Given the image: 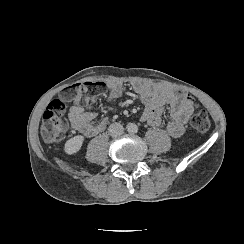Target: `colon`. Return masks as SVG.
<instances>
[{
  "instance_id": "5ec220e1",
  "label": "colon",
  "mask_w": 244,
  "mask_h": 244,
  "mask_svg": "<svg viewBox=\"0 0 244 244\" xmlns=\"http://www.w3.org/2000/svg\"><path fill=\"white\" fill-rule=\"evenodd\" d=\"M104 90V85L100 82H95L91 85L79 84L69 88L64 87L60 90L61 98L52 100L46 107L41 118V136L48 142H58L63 137L69 126L68 121L64 117L67 108L65 100L71 95L78 97L81 101L91 105L96 102ZM191 124L194 129L199 132H205L210 128V119L208 113L202 108H196Z\"/></svg>"
}]
</instances>
